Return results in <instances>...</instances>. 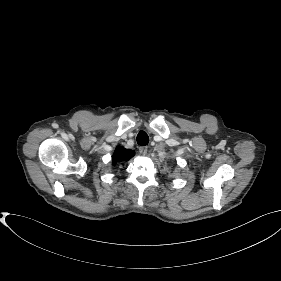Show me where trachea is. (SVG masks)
I'll list each match as a JSON object with an SVG mask.
<instances>
[{
  "label": "trachea",
  "instance_id": "obj_1",
  "mask_svg": "<svg viewBox=\"0 0 281 281\" xmlns=\"http://www.w3.org/2000/svg\"><path fill=\"white\" fill-rule=\"evenodd\" d=\"M137 143L141 146H145L149 143V137L146 132L140 131L137 135Z\"/></svg>",
  "mask_w": 281,
  "mask_h": 281
}]
</instances>
